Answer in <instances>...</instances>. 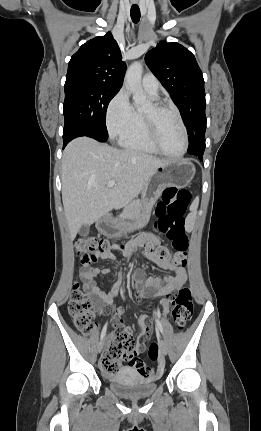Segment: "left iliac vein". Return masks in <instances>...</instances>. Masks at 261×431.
I'll list each match as a JSON object with an SVG mask.
<instances>
[{
	"label": "left iliac vein",
	"mask_w": 261,
	"mask_h": 431,
	"mask_svg": "<svg viewBox=\"0 0 261 431\" xmlns=\"http://www.w3.org/2000/svg\"><path fill=\"white\" fill-rule=\"evenodd\" d=\"M159 344H160V348H161L162 353L164 355H167L168 354V347H167V344L165 343V341L163 339H160Z\"/></svg>",
	"instance_id": "1"
}]
</instances>
